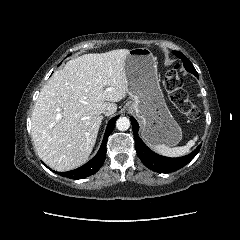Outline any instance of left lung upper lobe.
Masks as SVG:
<instances>
[{
	"label": "left lung upper lobe",
	"instance_id": "left-lung-upper-lobe-1",
	"mask_svg": "<svg viewBox=\"0 0 240 240\" xmlns=\"http://www.w3.org/2000/svg\"><path fill=\"white\" fill-rule=\"evenodd\" d=\"M172 52H173V54H175L178 58H180L183 61V65L188 72H190L194 75L198 74L197 71L195 70L194 66L190 62V60L183 53H181L179 51H172Z\"/></svg>",
	"mask_w": 240,
	"mask_h": 240
}]
</instances>
